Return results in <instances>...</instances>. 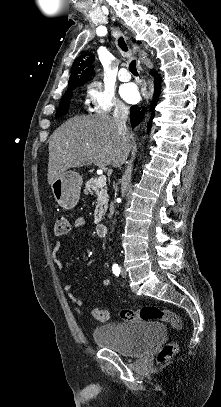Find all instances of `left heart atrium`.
I'll use <instances>...</instances> for the list:
<instances>
[{
  "instance_id": "left-heart-atrium-1",
  "label": "left heart atrium",
  "mask_w": 221,
  "mask_h": 407,
  "mask_svg": "<svg viewBox=\"0 0 221 407\" xmlns=\"http://www.w3.org/2000/svg\"><path fill=\"white\" fill-rule=\"evenodd\" d=\"M121 95L129 103H135L139 99V92L134 84L124 85Z\"/></svg>"
}]
</instances>
